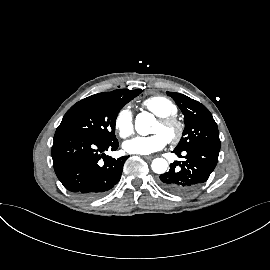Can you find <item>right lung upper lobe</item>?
I'll return each mask as SVG.
<instances>
[{
  "label": "right lung upper lobe",
  "instance_id": "right-lung-upper-lobe-1",
  "mask_svg": "<svg viewBox=\"0 0 270 270\" xmlns=\"http://www.w3.org/2000/svg\"><path fill=\"white\" fill-rule=\"evenodd\" d=\"M136 91L137 90L118 89V90H114L112 92L100 93V94L111 95V96H119V97H122V98H126V97L131 96L132 94H134Z\"/></svg>",
  "mask_w": 270,
  "mask_h": 270
}]
</instances>
